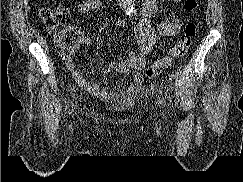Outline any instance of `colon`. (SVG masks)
<instances>
[{
  "instance_id": "colon-1",
  "label": "colon",
  "mask_w": 243,
  "mask_h": 182,
  "mask_svg": "<svg viewBox=\"0 0 243 182\" xmlns=\"http://www.w3.org/2000/svg\"><path fill=\"white\" fill-rule=\"evenodd\" d=\"M197 7V0H185L184 9L187 12L192 13ZM40 17L46 29L53 37L58 54L66 60L74 58L77 41L76 32L70 25L71 17L69 10L63 5H50L40 11ZM196 31V24L193 21L187 22L171 52L149 66L145 70V76L147 78H154L169 68L175 60L182 58L188 52Z\"/></svg>"
}]
</instances>
